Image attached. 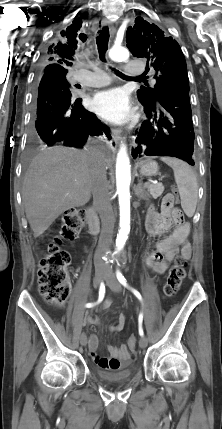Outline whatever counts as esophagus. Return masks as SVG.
<instances>
[{"label":"esophagus","mask_w":222,"mask_h":429,"mask_svg":"<svg viewBox=\"0 0 222 429\" xmlns=\"http://www.w3.org/2000/svg\"><path fill=\"white\" fill-rule=\"evenodd\" d=\"M101 24H102V26H109V27H110V30H111V33H112V34H114V33H115V31H116V30H115V28H114V26H113V24L111 23V21H110V20H108V19L104 18V19L102 20ZM111 132H112L113 140H114L116 143H119V142L121 141V139H122L120 130L115 129V128H112Z\"/></svg>","instance_id":"obj_1"}]
</instances>
